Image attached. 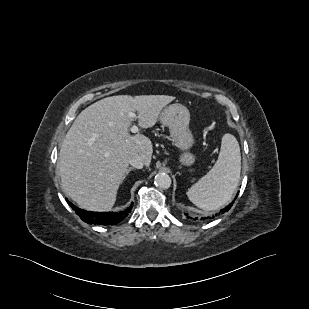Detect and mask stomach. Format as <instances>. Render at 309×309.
<instances>
[{"label":"stomach","instance_id":"0dacf381","mask_svg":"<svg viewBox=\"0 0 309 309\" xmlns=\"http://www.w3.org/2000/svg\"><path fill=\"white\" fill-rule=\"evenodd\" d=\"M160 121L169 128L174 145L181 151L180 163L185 166L192 165L195 156L189 150L194 144V137L189 128V110L182 104L169 105L161 112Z\"/></svg>","mask_w":309,"mask_h":309}]
</instances>
